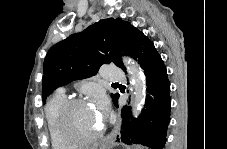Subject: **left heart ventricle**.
Wrapping results in <instances>:
<instances>
[{"label":"left heart ventricle","mask_w":227,"mask_h":149,"mask_svg":"<svg viewBox=\"0 0 227 149\" xmlns=\"http://www.w3.org/2000/svg\"><path fill=\"white\" fill-rule=\"evenodd\" d=\"M102 125L99 112L88 103L77 105L72 109L68 118V131L79 138L96 134Z\"/></svg>","instance_id":"b2bd125f"}]
</instances>
